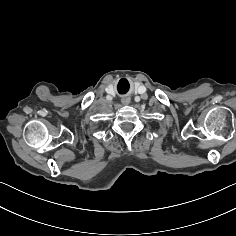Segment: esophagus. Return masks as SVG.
Returning a JSON list of instances; mask_svg holds the SVG:
<instances>
[{"label":"esophagus","instance_id":"obj_1","mask_svg":"<svg viewBox=\"0 0 236 236\" xmlns=\"http://www.w3.org/2000/svg\"><path fill=\"white\" fill-rule=\"evenodd\" d=\"M129 101H123L124 104H128Z\"/></svg>","mask_w":236,"mask_h":236}]
</instances>
